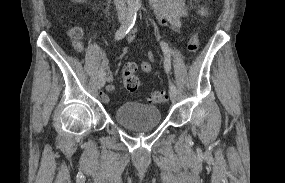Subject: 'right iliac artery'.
Returning <instances> with one entry per match:
<instances>
[{
	"instance_id": "1",
	"label": "right iliac artery",
	"mask_w": 285,
	"mask_h": 183,
	"mask_svg": "<svg viewBox=\"0 0 285 183\" xmlns=\"http://www.w3.org/2000/svg\"><path fill=\"white\" fill-rule=\"evenodd\" d=\"M136 9H129L128 17L125 23L117 30L115 34V39L120 40L124 38V36L130 31V29L134 26L136 20ZM98 76L103 77L104 73L101 69L98 71Z\"/></svg>"
}]
</instances>
